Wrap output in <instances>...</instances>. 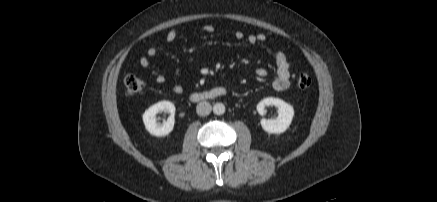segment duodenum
<instances>
[{"mask_svg": "<svg viewBox=\"0 0 437 202\" xmlns=\"http://www.w3.org/2000/svg\"><path fill=\"white\" fill-rule=\"evenodd\" d=\"M226 94V90L223 87H214L204 91L193 92L190 95L191 100L193 101H204L210 100L217 97L224 96Z\"/></svg>", "mask_w": 437, "mask_h": 202, "instance_id": "duodenum-1", "label": "duodenum"}]
</instances>
